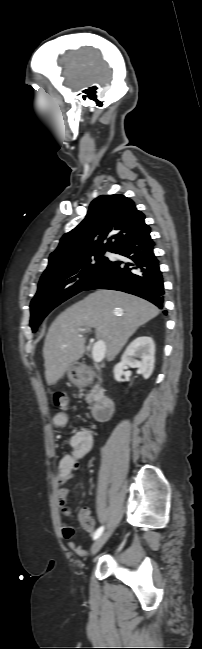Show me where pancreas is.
<instances>
[{
    "mask_svg": "<svg viewBox=\"0 0 202 649\" xmlns=\"http://www.w3.org/2000/svg\"><path fill=\"white\" fill-rule=\"evenodd\" d=\"M103 393V389L100 388V386L97 384L94 387L93 392L87 394L86 400L89 405H91L95 400L99 399L101 394Z\"/></svg>",
    "mask_w": 202,
    "mask_h": 649,
    "instance_id": "obj_1",
    "label": "pancreas"
}]
</instances>
